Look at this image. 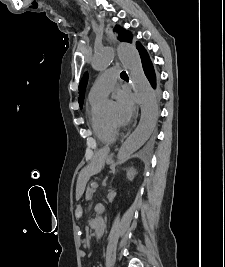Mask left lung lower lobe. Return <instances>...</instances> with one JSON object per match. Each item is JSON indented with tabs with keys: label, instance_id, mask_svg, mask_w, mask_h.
<instances>
[{
	"label": "left lung lower lobe",
	"instance_id": "1",
	"mask_svg": "<svg viewBox=\"0 0 225 267\" xmlns=\"http://www.w3.org/2000/svg\"><path fill=\"white\" fill-rule=\"evenodd\" d=\"M136 48L139 51V55L141 58V63L143 67V71L150 82L151 86L156 89L157 93L159 94V82L156 76L155 70L153 68L152 62L149 58V55L145 48L139 43H136Z\"/></svg>",
	"mask_w": 225,
	"mask_h": 267
}]
</instances>
